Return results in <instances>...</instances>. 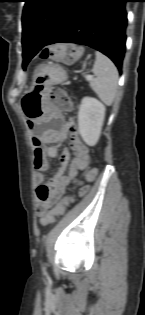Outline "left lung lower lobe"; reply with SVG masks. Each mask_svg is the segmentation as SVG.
<instances>
[{"label":"left lung lower lobe","instance_id":"obj_1","mask_svg":"<svg viewBox=\"0 0 145 315\" xmlns=\"http://www.w3.org/2000/svg\"><path fill=\"white\" fill-rule=\"evenodd\" d=\"M126 2L129 0H74L48 40L42 42L32 34L22 37L23 58L30 61L50 44L76 43L102 52L121 72L126 42Z\"/></svg>","mask_w":145,"mask_h":315}]
</instances>
